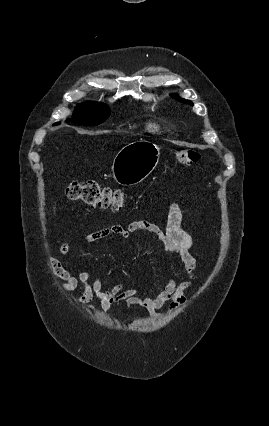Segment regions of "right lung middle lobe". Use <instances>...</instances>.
Listing matches in <instances>:
<instances>
[{
	"instance_id": "obj_1",
	"label": "right lung middle lobe",
	"mask_w": 269,
	"mask_h": 426,
	"mask_svg": "<svg viewBox=\"0 0 269 426\" xmlns=\"http://www.w3.org/2000/svg\"><path fill=\"white\" fill-rule=\"evenodd\" d=\"M72 117V121L88 126L101 124L110 116L109 108L96 102H85L79 105ZM56 123L55 125H57Z\"/></svg>"
}]
</instances>
